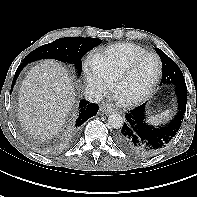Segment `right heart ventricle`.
I'll list each match as a JSON object with an SVG mask.
<instances>
[{
	"label": "right heart ventricle",
	"mask_w": 197,
	"mask_h": 197,
	"mask_svg": "<svg viewBox=\"0 0 197 197\" xmlns=\"http://www.w3.org/2000/svg\"><path fill=\"white\" fill-rule=\"evenodd\" d=\"M145 52L147 51L137 44L118 43L93 54L91 64L113 80L128 62Z\"/></svg>",
	"instance_id": "1"
}]
</instances>
